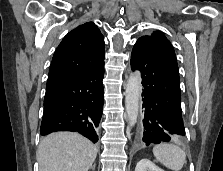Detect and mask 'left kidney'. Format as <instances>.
Segmentation results:
<instances>
[{
    "mask_svg": "<svg viewBox=\"0 0 223 171\" xmlns=\"http://www.w3.org/2000/svg\"><path fill=\"white\" fill-rule=\"evenodd\" d=\"M135 171H164V170L156 166L150 160L142 159L137 163Z\"/></svg>",
    "mask_w": 223,
    "mask_h": 171,
    "instance_id": "obj_1",
    "label": "left kidney"
}]
</instances>
